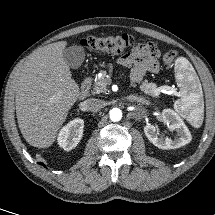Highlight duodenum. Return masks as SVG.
I'll return each mask as SVG.
<instances>
[{"instance_id":"410a0bca","label":"duodenum","mask_w":215,"mask_h":215,"mask_svg":"<svg viewBox=\"0 0 215 215\" xmlns=\"http://www.w3.org/2000/svg\"><path fill=\"white\" fill-rule=\"evenodd\" d=\"M91 83H92V78L90 76H87L83 80V82L81 84L80 93H79L80 99H84L88 96L89 91H90V87H91Z\"/></svg>"}]
</instances>
